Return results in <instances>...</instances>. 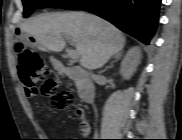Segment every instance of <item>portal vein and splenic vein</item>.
<instances>
[{
	"label": "portal vein and splenic vein",
	"instance_id": "obj_1",
	"mask_svg": "<svg viewBox=\"0 0 182 140\" xmlns=\"http://www.w3.org/2000/svg\"><path fill=\"white\" fill-rule=\"evenodd\" d=\"M66 39L70 41V38H69V37H66ZM67 56H68L69 58L73 59V60L78 59V53H77V51H75V50H73V49H69V50L67 51Z\"/></svg>",
	"mask_w": 182,
	"mask_h": 140
}]
</instances>
